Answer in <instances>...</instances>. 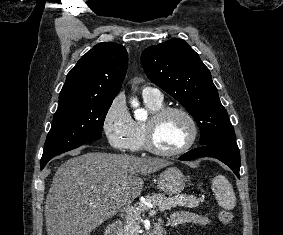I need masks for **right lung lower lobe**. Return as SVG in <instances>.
Instances as JSON below:
<instances>
[{
    "instance_id": "right-lung-lower-lobe-1",
    "label": "right lung lower lobe",
    "mask_w": 283,
    "mask_h": 235,
    "mask_svg": "<svg viewBox=\"0 0 283 235\" xmlns=\"http://www.w3.org/2000/svg\"><path fill=\"white\" fill-rule=\"evenodd\" d=\"M79 146H81V145H79ZM79 146H77V147H79ZM77 147H75V148H77ZM75 148H72V149H75ZM72 149H71V150H72ZM48 161H49V160H48ZM48 161H45V162H41V163H40L41 169L47 164Z\"/></svg>"
}]
</instances>
